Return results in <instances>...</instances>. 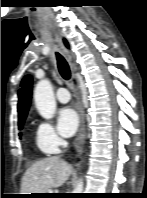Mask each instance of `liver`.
I'll return each mask as SVG.
<instances>
[{"mask_svg":"<svg viewBox=\"0 0 147 198\" xmlns=\"http://www.w3.org/2000/svg\"><path fill=\"white\" fill-rule=\"evenodd\" d=\"M72 171V166L58 156L37 161L22 177L21 194L47 193L65 183Z\"/></svg>","mask_w":147,"mask_h":198,"instance_id":"obj_1","label":"liver"}]
</instances>
